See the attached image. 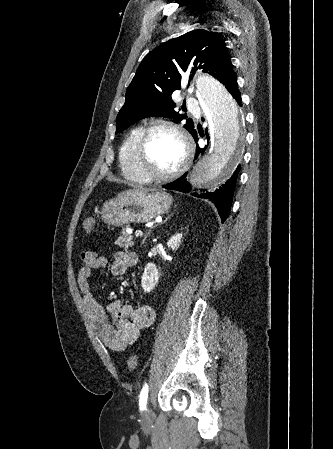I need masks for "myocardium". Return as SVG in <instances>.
I'll return each instance as SVG.
<instances>
[{
	"mask_svg": "<svg viewBox=\"0 0 333 449\" xmlns=\"http://www.w3.org/2000/svg\"><path fill=\"white\" fill-rule=\"evenodd\" d=\"M158 130L168 131L176 135L181 141V144L184 149V157L182 162L176 169L166 174L152 173L144 166V159L148 140L152 135V133ZM134 157L136 168L139 174L144 179H146L148 182L163 183L178 178L181 174H183L187 170V168L192 162L193 148L189 138L181 128L166 121H155L142 129L135 144Z\"/></svg>",
	"mask_w": 333,
	"mask_h": 449,
	"instance_id": "obj_1",
	"label": "myocardium"
}]
</instances>
